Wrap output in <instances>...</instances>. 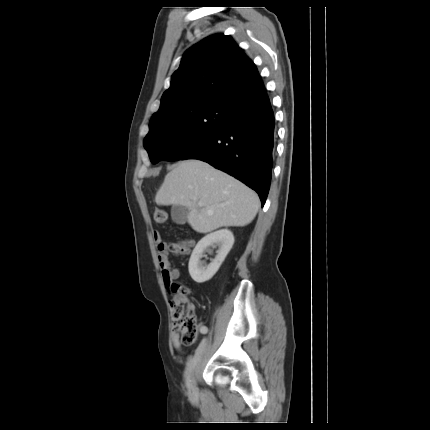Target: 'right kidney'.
<instances>
[{"label": "right kidney", "mask_w": 430, "mask_h": 430, "mask_svg": "<svg viewBox=\"0 0 430 430\" xmlns=\"http://www.w3.org/2000/svg\"><path fill=\"white\" fill-rule=\"evenodd\" d=\"M214 244L219 247L217 255L209 265H204L203 262L200 261L203 252ZM233 244L234 236L232 232L227 229L218 230L203 237L197 243L189 260L188 270L191 278L199 284L210 280L219 270Z\"/></svg>", "instance_id": "ca27d5eb"}]
</instances>
